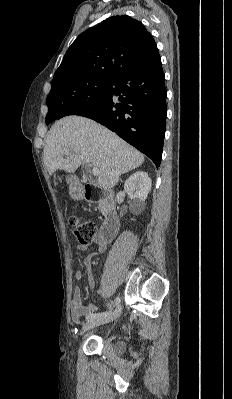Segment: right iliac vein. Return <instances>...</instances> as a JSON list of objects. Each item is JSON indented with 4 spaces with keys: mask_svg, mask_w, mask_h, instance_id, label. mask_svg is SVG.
I'll return each instance as SVG.
<instances>
[{
    "mask_svg": "<svg viewBox=\"0 0 232 399\" xmlns=\"http://www.w3.org/2000/svg\"><path fill=\"white\" fill-rule=\"evenodd\" d=\"M120 313H122V308H115V311H113V314L111 315H102L98 319H94L93 321H86L87 323L84 324V329L79 331L80 335H83L84 332L88 330H92L95 326H101L102 323L109 324L110 322H113V319H118V316H120Z\"/></svg>",
    "mask_w": 232,
    "mask_h": 399,
    "instance_id": "obj_1",
    "label": "right iliac vein"
}]
</instances>
